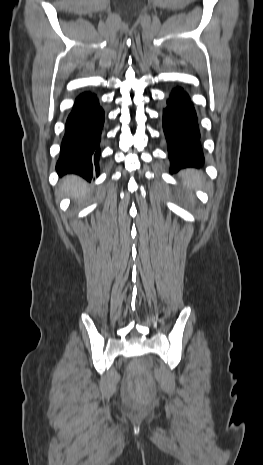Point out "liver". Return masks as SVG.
<instances>
[{
	"mask_svg": "<svg viewBox=\"0 0 263 465\" xmlns=\"http://www.w3.org/2000/svg\"><path fill=\"white\" fill-rule=\"evenodd\" d=\"M61 189L74 199L82 200L89 192L88 185L85 181L77 176H68L61 184Z\"/></svg>",
	"mask_w": 263,
	"mask_h": 465,
	"instance_id": "liver-1",
	"label": "liver"
}]
</instances>
